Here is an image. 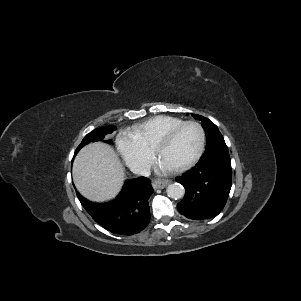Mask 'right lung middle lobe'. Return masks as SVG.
I'll use <instances>...</instances> for the list:
<instances>
[{
	"label": "right lung middle lobe",
	"instance_id": "dd1d6c3e",
	"mask_svg": "<svg viewBox=\"0 0 301 301\" xmlns=\"http://www.w3.org/2000/svg\"><path fill=\"white\" fill-rule=\"evenodd\" d=\"M114 130H116V127L114 126H107L103 128L96 129L89 134H87L84 139L82 140L81 144L77 147L75 151V155L77 152L86 144L90 142H95V141H101L105 137V135L112 133ZM105 142L112 143V140H106Z\"/></svg>",
	"mask_w": 301,
	"mask_h": 301
}]
</instances>
